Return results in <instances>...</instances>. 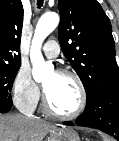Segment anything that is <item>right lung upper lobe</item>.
I'll use <instances>...</instances> for the list:
<instances>
[{"label": "right lung upper lobe", "mask_w": 119, "mask_h": 141, "mask_svg": "<svg viewBox=\"0 0 119 141\" xmlns=\"http://www.w3.org/2000/svg\"><path fill=\"white\" fill-rule=\"evenodd\" d=\"M23 6L20 0H0V64L21 65Z\"/></svg>", "instance_id": "right-lung-upper-lobe-1"}]
</instances>
